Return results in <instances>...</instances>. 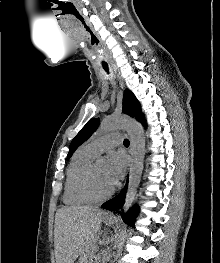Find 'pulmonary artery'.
Here are the masks:
<instances>
[{
  "label": "pulmonary artery",
  "mask_w": 220,
  "mask_h": 263,
  "mask_svg": "<svg viewBox=\"0 0 220 263\" xmlns=\"http://www.w3.org/2000/svg\"><path fill=\"white\" fill-rule=\"evenodd\" d=\"M122 140L119 133H109L88 142L85 147L94 155H98L104 150L120 144Z\"/></svg>",
  "instance_id": "e3ab8cb5"
}]
</instances>
